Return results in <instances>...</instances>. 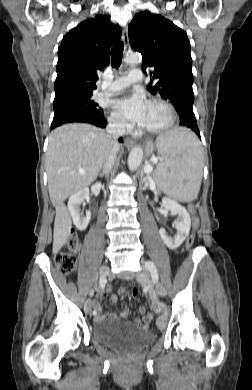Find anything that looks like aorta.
I'll list each match as a JSON object with an SVG mask.
<instances>
[{
  "label": "aorta",
  "instance_id": "obj_1",
  "mask_svg": "<svg viewBox=\"0 0 252 390\" xmlns=\"http://www.w3.org/2000/svg\"><path fill=\"white\" fill-rule=\"evenodd\" d=\"M125 61L127 63L137 64L141 61V57L137 54H129L126 56ZM143 150L141 147H134L128 156V167L131 171L137 170L142 162Z\"/></svg>",
  "mask_w": 252,
  "mask_h": 390
}]
</instances>
